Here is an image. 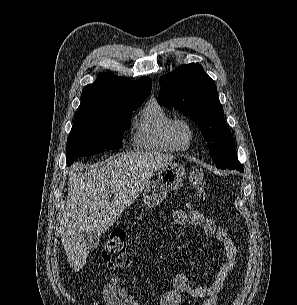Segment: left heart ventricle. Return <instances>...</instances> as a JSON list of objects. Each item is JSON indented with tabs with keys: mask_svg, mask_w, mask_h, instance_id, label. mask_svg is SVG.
I'll use <instances>...</instances> for the list:
<instances>
[{
	"mask_svg": "<svg viewBox=\"0 0 297 305\" xmlns=\"http://www.w3.org/2000/svg\"><path fill=\"white\" fill-rule=\"evenodd\" d=\"M185 135H186L185 130L183 128H180V136L185 137Z\"/></svg>",
	"mask_w": 297,
	"mask_h": 305,
	"instance_id": "left-heart-ventricle-1",
	"label": "left heart ventricle"
}]
</instances>
